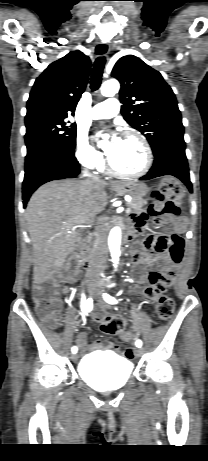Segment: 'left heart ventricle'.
<instances>
[{"label": "left heart ventricle", "instance_id": "1", "mask_svg": "<svg viewBox=\"0 0 208 461\" xmlns=\"http://www.w3.org/2000/svg\"><path fill=\"white\" fill-rule=\"evenodd\" d=\"M107 154L113 166L124 173H135L145 163V152L135 137H121L116 144L107 145Z\"/></svg>", "mask_w": 208, "mask_h": 461}]
</instances>
